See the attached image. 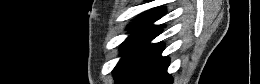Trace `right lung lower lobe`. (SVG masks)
Masks as SVG:
<instances>
[{
  "instance_id": "right-lung-lower-lobe-1",
  "label": "right lung lower lobe",
  "mask_w": 260,
  "mask_h": 84,
  "mask_svg": "<svg viewBox=\"0 0 260 84\" xmlns=\"http://www.w3.org/2000/svg\"><path fill=\"white\" fill-rule=\"evenodd\" d=\"M168 65L169 58L159 57L156 62L132 84H171L172 78L167 74Z\"/></svg>"
}]
</instances>
